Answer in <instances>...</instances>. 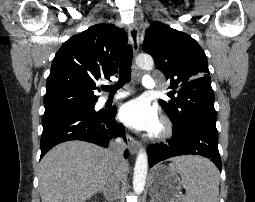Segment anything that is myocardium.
<instances>
[{"label": "myocardium", "instance_id": "myocardium-1", "mask_svg": "<svg viewBox=\"0 0 255 202\" xmlns=\"http://www.w3.org/2000/svg\"><path fill=\"white\" fill-rule=\"evenodd\" d=\"M172 132V124L168 120L164 119L160 122L152 137L155 140L162 141L168 139L172 135Z\"/></svg>", "mask_w": 255, "mask_h": 202}]
</instances>
